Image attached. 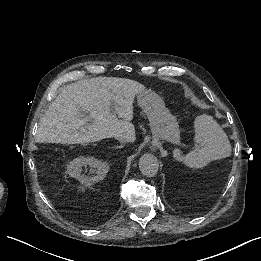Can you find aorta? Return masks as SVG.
<instances>
[{"mask_svg": "<svg viewBox=\"0 0 261 261\" xmlns=\"http://www.w3.org/2000/svg\"><path fill=\"white\" fill-rule=\"evenodd\" d=\"M139 169L147 177H154L159 169L157 158L152 154H144L139 160Z\"/></svg>", "mask_w": 261, "mask_h": 261, "instance_id": "1", "label": "aorta"}]
</instances>
